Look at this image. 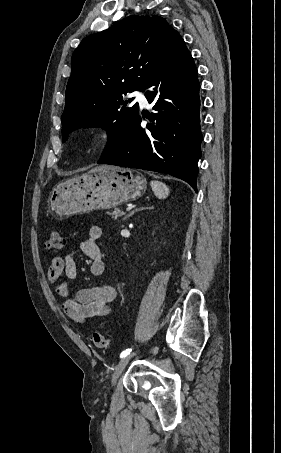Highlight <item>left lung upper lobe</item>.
<instances>
[{
    "instance_id": "left-lung-upper-lobe-1",
    "label": "left lung upper lobe",
    "mask_w": 281,
    "mask_h": 453,
    "mask_svg": "<svg viewBox=\"0 0 281 453\" xmlns=\"http://www.w3.org/2000/svg\"><path fill=\"white\" fill-rule=\"evenodd\" d=\"M179 33L159 16H129L111 28L84 38L72 56L62 139L81 127H103L109 133L104 156L138 116V104L127 108L123 95L147 88Z\"/></svg>"
}]
</instances>
